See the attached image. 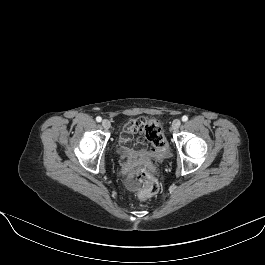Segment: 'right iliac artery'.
<instances>
[{"label":"right iliac artery","mask_w":265,"mask_h":265,"mask_svg":"<svg viewBox=\"0 0 265 265\" xmlns=\"http://www.w3.org/2000/svg\"><path fill=\"white\" fill-rule=\"evenodd\" d=\"M102 118L100 116L96 117L97 122H101Z\"/></svg>","instance_id":"1"}]
</instances>
